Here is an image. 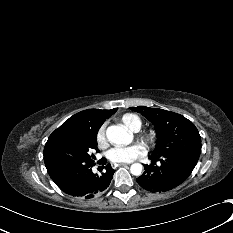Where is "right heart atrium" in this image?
I'll use <instances>...</instances> for the list:
<instances>
[{
    "mask_svg": "<svg viewBox=\"0 0 233 233\" xmlns=\"http://www.w3.org/2000/svg\"><path fill=\"white\" fill-rule=\"evenodd\" d=\"M96 142L97 145L100 148H104L107 146L108 141H107V137H106V130H105V126H101L97 133H96Z\"/></svg>",
    "mask_w": 233,
    "mask_h": 233,
    "instance_id": "d8ad5b80",
    "label": "right heart atrium"
}]
</instances>
